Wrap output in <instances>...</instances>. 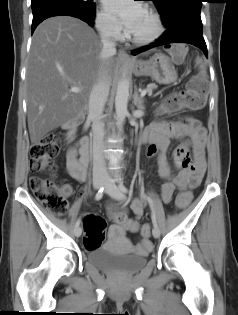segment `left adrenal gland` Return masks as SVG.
I'll return each mask as SVG.
<instances>
[{"instance_id": "left-adrenal-gland-1", "label": "left adrenal gland", "mask_w": 238, "mask_h": 315, "mask_svg": "<svg viewBox=\"0 0 238 315\" xmlns=\"http://www.w3.org/2000/svg\"><path fill=\"white\" fill-rule=\"evenodd\" d=\"M134 101V105L138 108V109H144L143 106V98L139 96L137 88L135 87V92H134V97H133Z\"/></svg>"}]
</instances>
